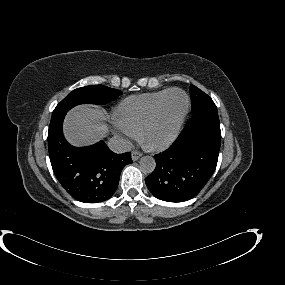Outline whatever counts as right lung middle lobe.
Masks as SVG:
<instances>
[{
    "instance_id": "dd1d6c3e",
    "label": "right lung middle lobe",
    "mask_w": 285,
    "mask_h": 285,
    "mask_svg": "<svg viewBox=\"0 0 285 285\" xmlns=\"http://www.w3.org/2000/svg\"><path fill=\"white\" fill-rule=\"evenodd\" d=\"M121 91L104 85H90L73 90L54 109L52 118L79 104H105L115 100Z\"/></svg>"
}]
</instances>
